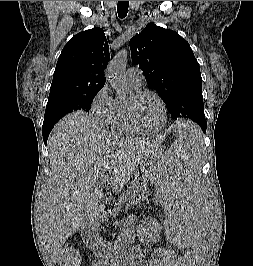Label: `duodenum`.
<instances>
[{
	"label": "duodenum",
	"instance_id": "410a0bca",
	"mask_svg": "<svg viewBox=\"0 0 253 266\" xmlns=\"http://www.w3.org/2000/svg\"><path fill=\"white\" fill-rule=\"evenodd\" d=\"M90 240L93 241V238H90ZM102 261L104 263V266H115L117 263L114 258L110 257H104L102 258Z\"/></svg>",
	"mask_w": 253,
	"mask_h": 266
}]
</instances>
